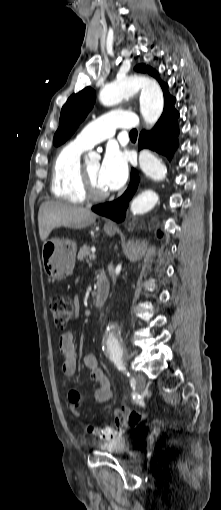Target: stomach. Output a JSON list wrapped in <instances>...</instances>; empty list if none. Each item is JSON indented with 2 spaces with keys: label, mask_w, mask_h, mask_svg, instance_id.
Wrapping results in <instances>:
<instances>
[{
  "label": "stomach",
  "mask_w": 221,
  "mask_h": 510,
  "mask_svg": "<svg viewBox=\"0 0 221 510\" xmlns=\"http://www.w3.org/2000/svg\"><path fill=\"white\" fill-rule=\"evenodd\" d=\"M106 234L112 236L116 227H104ZM77 246L69 239L52 238L44 242L42 261L44 270L51 281H61L68 277L75 267Z\"/></svg>",
  "instance_id": "stomach-1"
}]
</instances>
